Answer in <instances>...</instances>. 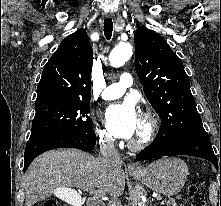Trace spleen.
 <instances>
[{
    "label": "spleen",
    "mask_w": 221,
    "mask_h": 206,
    "mask_svg": "<svg viewBox=\"0 0 221 206\" xmlns=\"http://www.w3.org/2000/svg\"><path fill=\"white\" fill-rule=\"evenodd\" d=\"M209 198L212 204L216 205L217 201H218V194L216 190L211 189L210 190V194H209Z\"/></svg>",
    "instance_id": "spleen-1"
}]
</instances>
